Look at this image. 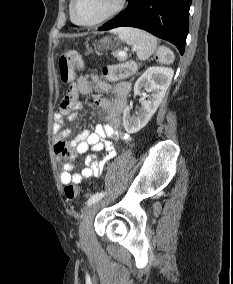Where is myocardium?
<instances>
[{
  "label": "myocardium",
  "instance_id": "f54148a6",
  "mask_svg": "<svg viewBox=\"0 0 233 284\" xmlns=\"http://www.w3.org/2000/svg\"><path fill=\"white\" fill-rule=\"evenodd\" d=\"M76 2L77 0H71V4H70V14H71V18L73 22H75L76 24L80 26H84V27H94V26H97V25H100V24H103L109 21L110 19L115 17L117 14H119L124 8L126 0H116L115 6L107 14H105L100 19L93 21V22H89V23L81 22L77 19L76 14H75Z\"/></svg>",
  "mask_w": 233,
  "mask_h": 284
}]
</instances>
